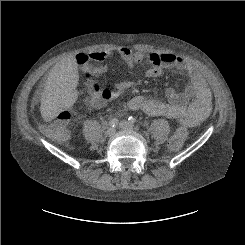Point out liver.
Wrapping results in <instances>:
<instances>
[{
  "instance_id": "liver-1",
  "label": "liver",
  "mask_w": 245,
  "mask_h": 245,
  "mask_svg": "<svg viewBox=\"0 0 245 245\" xmlns=\"http://www.w3.org/2000/svg\"><path fill=\"white\" fill-rule=\"evenodd\" d=\"M78 79L77 63L73 56L62 59L52 67L41 98L40 111L44 121L50 122L73 106L77 99Z\"/></svg>"
}]
</instances>
